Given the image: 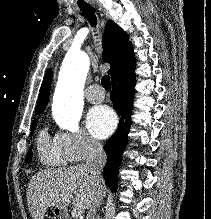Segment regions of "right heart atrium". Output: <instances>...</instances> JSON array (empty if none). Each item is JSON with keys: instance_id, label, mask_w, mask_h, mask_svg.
<instances>
[{"instance_id": "right-heart-atrium-1", "label": "right heart atrium", "mask_w": 211, "mask_h": 219, "mask_svg": "<svg viewBox=\"0 0 211 219\" xmlns=\"http://www.w3.org/2000/svg\"><path fill=\"white\" fill-rule=\"evenodd\" d=\"M55 139L71 162H81L102 152L101 143L82 129L59 132Z\"/></svg>"}]
</instances>
